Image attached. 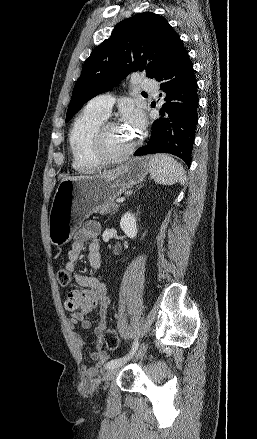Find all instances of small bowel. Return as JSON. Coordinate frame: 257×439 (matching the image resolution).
Segmentation results:
<instances>
[{
  "mask_svg": "<svg viewBox=\"0 0 257 439\" xmlns=\"http://www.w3.org/2000/svg\"><path fill=\"white\" fill-rule=\"evenodd\" d=\"M100 225L95 221L86 222L73 236L70 249L67 252V261L64 269L69 273H75V281L80 288L68 292L65 301V309L70 312L71 337L76 348L82 352L85 342L82 336L74 330L79 325L82 329H89L91 322L86 315L96 311L99 322L94 329L96 336L95 349L89 354V358L95 366L84 369V380L90 379L96 373V366L104 364L108 360V354L102 349L103 332L106 329L105 315L110 304L107 287L99 278L76 272V265L84 245L88 242V262L93 270H97L101 264L100 248L97 236Z\"/></svg>",
  "mask_w": 257,
  "mask_h": 439,
  "instance_id": "small-bowel-1",
  "label": "small bowel"
}]
</instances>
